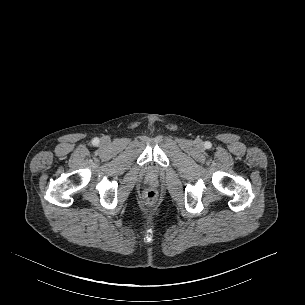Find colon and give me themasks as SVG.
Instances as JSON below:
<instances>
[{
  "instance_id": "obj_1",
  "label": "colon",
  "mask_w": 305,
  "mask_h": 305,
  "mask_svg": "<svg viewBox=\"0 0 305 305\" xmlns=\"http://www.w3.org/2000/svg\"><path fill=\"white\" fill-rule=\"evenodd\" d=\"M156 198H157V194L153 190H148L144 194V201H145L146 205H148V206L153 205L154 202L156 201Z\"/></svg>"
}]
</instances>
